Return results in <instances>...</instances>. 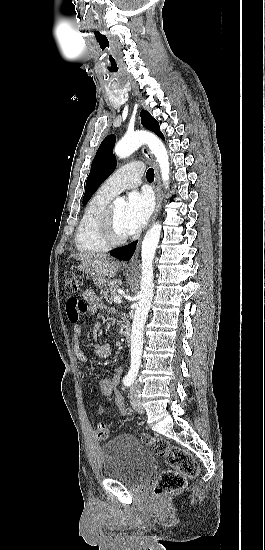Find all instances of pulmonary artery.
<instances>
[{
    "label": "pulmonary artery",
    "mask_w": 265,
    "mask_h": 550,
    "mask_svg": "<svg viewBox=\"0 0 265 550\" xmlns=\"http://www.w3.org/2000/svg\"><path fill=\"white\" fill-rule=\"evenodd\" d=\"M143 164L140 161L130 162L116 170L101 186L106 193L116 196L122 191L135 188L142 181Z\"/></svg>",
    "instance_id": "e3ab8cb5"
}]
</instances>
